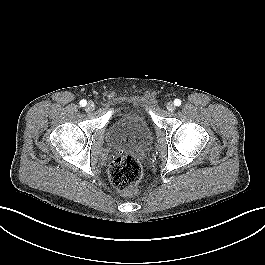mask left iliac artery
<instances>
[{"label": "left iliac artery", "instance_id": "44dca946", "mask_svg": "<svg viewBox=\"0 0 265 265\" xmlns=\"http://www.w3.org/2000/svg\"><path fill=\"white\" fill-rule=\"evenodd\" d=\"M174 105L175 106H180L181 105V100L180 99H175L174 100Z\"/></svg>", "mask_w": 265, "mask_h": 265}]
</instances>
